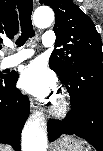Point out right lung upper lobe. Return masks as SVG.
Masks as SVG:
<instances>
[{
	"label": "right lung upper lobe",
	"instance_id": "right-lung-upper-lobe-1",
	"mask_svg": "<svg viewBox=\"0 0 103 151\" xmlns=\"http://www.w3.org/2000/svg\"><path fill=\"white\" fill-rule=\"evenodd\" d=\"M15 8V0H0V43L2 37L13 38L18 33L19 24Z\"/></svg>",
	"mask_w": 103,
	"mask_h": 151
}]
</instances>
